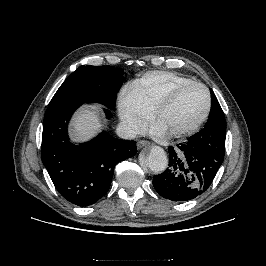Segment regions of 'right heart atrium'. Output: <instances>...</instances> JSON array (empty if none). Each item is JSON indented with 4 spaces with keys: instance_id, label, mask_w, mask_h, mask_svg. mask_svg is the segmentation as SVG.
Returning <instances> with one entry per match:
<instances>
[{
    "instance_id": "right-heart-atrium-1",
    "label": "right heart atrium",
    "mask_w": 266,
    "mask_h": 266,
    "mask_svg": "<svg viewBox=\"0 0 266 266\" xmlns=\"http://www.w3.org/2000/svg\"><path fill=\"white\" fill-rule=\"evenodd\" d=\"M118 114L124 131L129 135L139 133L152 118V112L129 88H126L118 98Z\"/></svg>"
}]
</instances>
